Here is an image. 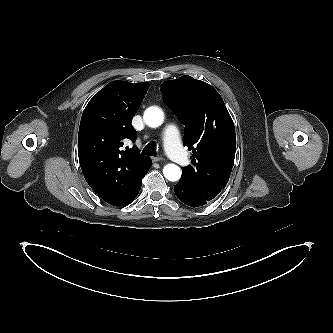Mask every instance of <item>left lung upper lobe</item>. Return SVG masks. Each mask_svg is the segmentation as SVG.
Segmentation results:
<instances>
[{"instance_id": "left-lung-upper-lobe-1", "label": "left lung upper lobe", "mask_w": 333, "mask_h": 333, "mask_svg": "<svg viewBox=\"0 0 333 333\" xmlns=\"http://www.w3.org/2000/svg\"><path fill=\"white\" fill-rule=\"evenodd\" d=\"M160 89L185 124L184 145L193 152L180 180L213 200L225 188L235 158V127L224 101L212 86L190 76L165 81Z\"/></svg>"}]
</instances>
